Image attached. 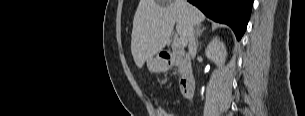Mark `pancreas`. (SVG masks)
<instances>
[{"label": "pancreas", "instance_id": "pancreas-1", "mask_svg": "<svg viewBox=\"0 0 305 116\" xmlns=\"http://www.w3.org/2000/svg\"><path fill=\"white\" fill-rule=\"evenodd\" d=\"M176 65H177V67H178V72H179L180 74H182V73H183V66H182V64H181L180 62H177Z\"/></svg>", "mask_w": 305, "mask_h": 116}]
</instances>
